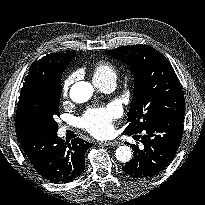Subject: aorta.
I'll return each mask as SVG.
<instances>
[{
	"mask_svg": "<svg viewBox=\"0 0 205 205\" xmlns=\"http://www.w3.org/2000/svg\"><path fill=\"white\" fill-rule=\"evenodd\" d=\"M94 93L91 83L80 81L75 83L70 89V98L75 103L87 102ZM115 157L119 162L127 163L131 160L132 150L129 146H119L115 151Z\"/></svg>",
	"mask_w": 205,
	"mask_h": 205,
	"instance_id": "obj_1",
	"label": "aorta"
}]
</instances>
